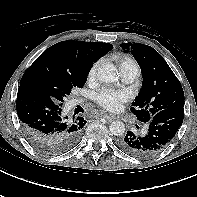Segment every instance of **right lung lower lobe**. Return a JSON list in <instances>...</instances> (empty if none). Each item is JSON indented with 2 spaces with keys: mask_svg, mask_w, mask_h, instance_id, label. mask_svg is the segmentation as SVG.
<instances>
[{
  "mask_svg": "<svg viewBox=\"0 0 197 197\" xmlns=\"http://www.w3.org/2000/svg\"><path fill=\"white\" fill-rule=\"evenodd\" d=\"M16 108L24 133L50 154H59L74 147L86 124L82 117L66 116L62 104L30 86H19Z\"/></svg>",
  "mask_w": 197,
  "mask_h": 197,
  "instance_id": "obj_1",
  "label": "right lung lower lobe"
}]
</instances>
